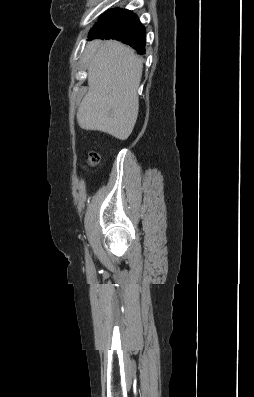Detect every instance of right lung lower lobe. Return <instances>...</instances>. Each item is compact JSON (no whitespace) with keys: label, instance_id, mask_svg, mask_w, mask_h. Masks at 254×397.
Here are the masks:
<instances>
[{"label":"right lung lower lobe","instance_id":"98d812e1","mask_svg":"<svg viewBox=\"0 0 254 397\" xmlns=\"http://www.w3.org/2000/svg\"><path fill=\"white\" fill-rule=\"evenodd\" d=\"M145 33L144 26L133 12L115 8L101 16L91 29L88 40L116 39L130 45L139 54H144Z\"/></svg>","mask_w":254,"mask_h":397}]
</instances>
